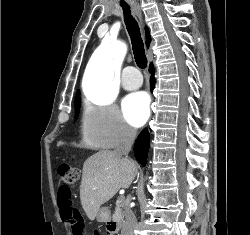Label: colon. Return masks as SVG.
<instances>
[{
    "mask_svg": "<svg viewBox=\"0 0 250 235\" xmlns=\"http://www.w3.org/2000/svg\"><path fill=\"white\" fill-rule=\"evenodd\" d=\"M59 189L57 200L63 220L70 226L73 235H84L85 227L79 211L71 202V187L78 181V170L67 163L58 166Z\"/></svg>",
    "mask_w": 250,
    "mask_h": 235,
    "instance_id": "5ec220e1",
    "label": "colon"
}]
</instances>
